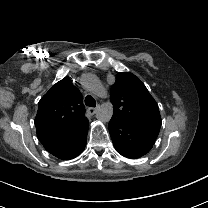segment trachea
<instances>
[{
	"label": "trachea",
	"mask_w": 208,
	"mask_h": 208,
	"mask_svg": "<svg viewBox=\"0 0 208 208\" xmlns=\"http://www.w3.org/2000/svg\"><path fill=\"white\" fill-rule=\"evenodd\" d=\"M85 104L89 107H95L96 106V101L91 95H87L85 97Z\"/></svg>",
	"instance_id": "1"
}]
</instances>
